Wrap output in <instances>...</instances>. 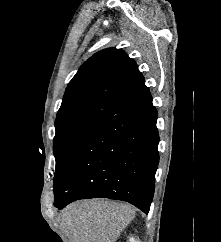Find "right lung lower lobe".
Instances as JSON below:
<instances>
[{"mask_svg":"<svg viewBox=\"0 0 221 242\" xmlns=\"http://www.w3.org/2000/svg\"><path fill=\"white\" fill-rule=\"evenodd\" d=\"M150 92L101 122L70 158L54 187L58 209L77 199L127 201L148 213L159 162Z\"/></svg>","mask_w":221,"mask_h":242,"instance_id":"98d812e1","label":"right lung lower lobe"}]
</instances>
